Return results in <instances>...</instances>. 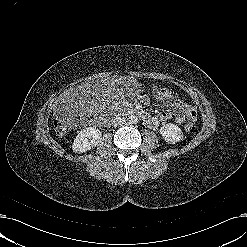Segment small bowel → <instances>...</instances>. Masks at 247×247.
<instances>
[{
    "instance_id": "1",
    "label": "small bowel",
    "mask_w": 247,
    "mask_h": 247,
    "mask_svg": "<svg viewBox=\"0 0 247 247\" xmlns=\"http://www.w3.org/2000/svg\"><path fill=\"white\" fill-rule=\"evenodd\" d=\"M154 86H156V84L152 85V87ZM166 91L168 93L166 100L162 102L158 101V104L164 108V110L159 113L158 117H152V122L148 123L149 127L156 128L160 122L169 120L172 117V113L168 110L169 108L176 110L174 120L178 124L184 123L185 120H196L197 113L192 105L182 101L173 91L169 89H166ZM145 102H147V99H145Z\"/></svg>"
}]
</instances>
